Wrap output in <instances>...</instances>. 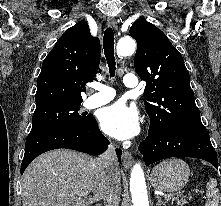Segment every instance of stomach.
<instances>
[{"mask_svg":"<svg viewBox=\"0 0 221 206\" xmlns=\"http://www.w3.org/2000/svg\"><path fill=\"white\" fill-rule=\"evenodd\" d=\"M190 169L180 159H169L155 166L150 175L152 186L160 191L181 190L188 181Z\"/></svg>","mask_w":221,"mask_h":206,"instance_id":"1","label":"stomach"}]
</instances>
